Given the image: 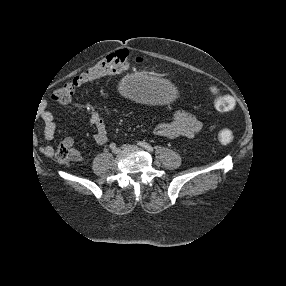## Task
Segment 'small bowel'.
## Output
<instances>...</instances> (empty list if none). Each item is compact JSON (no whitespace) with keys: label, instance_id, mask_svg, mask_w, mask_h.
I'll use <instances>...</instances> for the list:
<instances>
[{"label":"small bowel","instance_id":"obj_1","mask_svg":"<svg viewBox=\"0 0 286 286\" xmlns=\"http://www.w3.org/2000/svg\"><path fill=\"white\" fill-rule=\"evenodd\" d=\"M42 120L45 124L44 137L52 139L56 132V120L53 113L49 110H44L41 114ZM89 123L94 129L93 139L97 145H103L108 140L107 126L103 117L97 112L93 111L89 115ZM202 131V123L199 118L191 112L183 109H177L172 113V118L169 121L158 124L154 133L163 138H194ZM63 144L68 147L72 153V160L79 162L81 160L80 151L75 147L73 138L66 137ZM45 155H50L51 147L46 146L41 148Z\"/></svg>","mask_w":286,"mask_h":286}]
</instances>
